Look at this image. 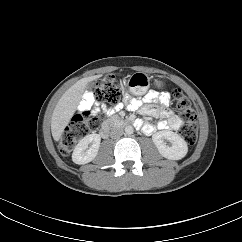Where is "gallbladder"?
Segmentation results:
<instances>
[{"label": "gallbladder", "instance_id": "gallbladder-1", "mask_svg": "<svg viewBox=\"0 0 242 242\" xmlns=\"http://www.w3.org/2000/svg\"><path fill=\"white\" fill-rule=\"evenodd\" d=\"M89 87L92 88L93 87V84H90Z\"/></svg>", "mask_w": 242, "mask_h": 242}]
</instances>
